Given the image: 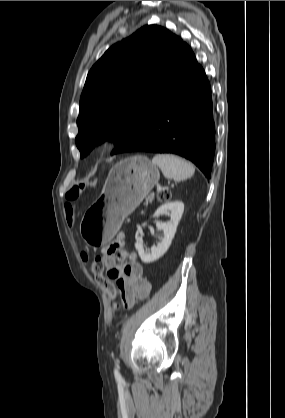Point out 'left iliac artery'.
I'll return each mask as SVG.
<instances>
[{
	"label": "left iliac artery",
	"mask_w": 285,
	"mask_h": 418,
	"mask_svg": "<svg viewBox=\"0 0 285 418\" xmlns=\"http://www.w3.org/2000/svg\"><path fill=\"white\" fill-rule=\"evenodd\" d=\"M114 374H115V377H116L118 380H121V374H120V372H119V370H118V368H117V367L114 369Z\"/></svg>",
	"instance_id": "left-iliac-artery-1"
}]
</instances>
